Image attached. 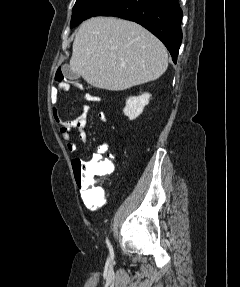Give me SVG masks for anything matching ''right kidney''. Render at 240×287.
I'll return each instance as SVG.
<instances>
[{"mask_svg": "<svg viewBox=\"0 0 240 287\" xmlns=\"http://www.w3.org/2000/svg\"><path fill=\"white\" fill-rule=\"evenodd\" d=\"M150 97L149 93H143L140 96H132L127 99L123 112L129 120H134L142 114L144 107L149 103Z\"/></svg>", "mask_w": 240, "mask_h": 287, "instance_id": "1", "label": "right kidney"}]
</instances>
